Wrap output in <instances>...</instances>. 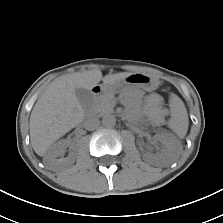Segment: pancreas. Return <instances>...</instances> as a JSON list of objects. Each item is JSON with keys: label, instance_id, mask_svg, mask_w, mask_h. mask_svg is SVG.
<instances>
[{"label": "pancreas", "instance_id": "obj_1", "mask_svg": "<svg viewBox=\"0 0 223 223\" xmlns=\"http://www.w3.org/2000/svg\"><path fill=\"white\" fill-rule=\"evenodd\" d=\"M114 106V96L112 94L105 95L101 99H96L90 105V111L95 114H104L112 112Z\"/></svg>", "mask_w": 223, "mask_h": 223}]
</instances>
